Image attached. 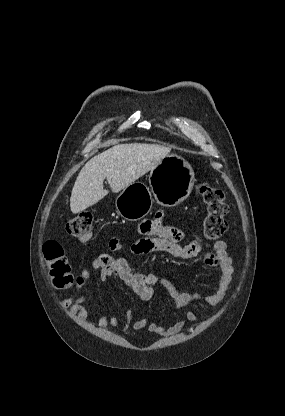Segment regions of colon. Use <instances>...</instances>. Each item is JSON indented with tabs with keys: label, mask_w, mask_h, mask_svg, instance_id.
I'll use <instances>...</instances> for the list:
<instances>
[{
	"label": "colon",
	"mask_w": 285,
	"mask_h": 416,
	"mask_svg": "<svg viewBox=\"0 0 285 416\" xmlns=\"http://www.w3.org/2000/svg\"><path fill=\"white\" fill-rule=\"evenodd\" d=\"M199 195L206 206L202 234L206 240L220 239L227 229L226 214L228 207L221 190L202 184ZM93 216L81 213L66 224L67 233L81 243L89 242L93 237ZM45 260L49 264L52 283L57 289H65L73 283L71 267L64 255L63 248L56 241H47L43 245Z\"/></svg>",
	"instance_id": "5ec220e1"
}]
</instances>
